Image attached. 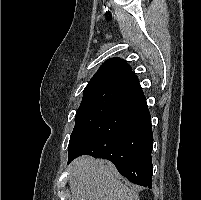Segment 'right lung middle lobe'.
Listing matches in <instances>:
<instances>
[{"label": "right lung middle lobe", "mask_w": 201, "mask_h": 200, "mask_svg": "<svg viewBox=\"0 0 201 200\" xmlns=\"http://www.w3.org/2000/svg\"><path fill=\"white\" fill-rule=\"evenodd\" d=\"M130 101L129 98L112 92L83 93L82 102L76 112L75 126L69 143L84 129Z\"/></svg>", "instance_id": "1"}]
</instances>
